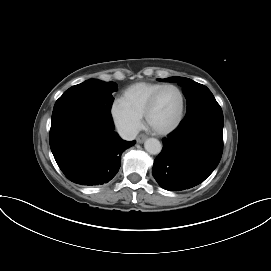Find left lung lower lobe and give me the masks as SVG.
Segmentation results:
<instances>
[{"mask_svg": "<svg viewBox=\"0 0 271 271\" xmlns=\"http://www.w3.org/2000/svg\"><path fill=\"white\" fill-rule=\"evenodd\" d=\"M223 112L217 102L186 113L179 127L162 140L152 174L171 191L192 188L217 167L223 152Z\"/></svg>", "mask_w": 271, "mask_h": 271, "instance_id": "0a47b994", "label": "left lung lower lobe"}]
</instances>
